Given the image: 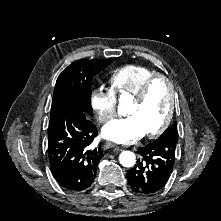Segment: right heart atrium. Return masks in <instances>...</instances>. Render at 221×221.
Wrapping results in <instances>:
<instances>
[{
	"mask_svg": "<svg viewBox=\"0 0 221 221\" xmlns=\"http://www.w3.org/2000/svg\"><path fill=\"white\" fill-rule=\"evenodd\" d=\"M117 97L110 89L99 87L91 94V106L100 123H107L116 115Z\"/></svg>",
	"mask_w": 221,
	"mask_h": 221,
	"instance_id": "right-heart-atrium-1",
	"label": "right heart atrium"
}]
</instances>
